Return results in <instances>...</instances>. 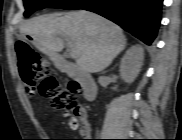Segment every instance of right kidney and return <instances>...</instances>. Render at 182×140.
<instances>
[{"instance_id":"right-kidney-1","label":"right kidney","mask_w":182,"mask_h":140,"mask_svg":"<svg viewBox=\"0 0 182 140\" xmlns=\"http://www.w3.org/2000/svg\"><path fill=\"white\" fill-rule=\"evenodd\" d=\"M144 60L141 46H132L124 55L120 64V75L126 83H132L138 76Z\"/></svg>"}]
</instances>
